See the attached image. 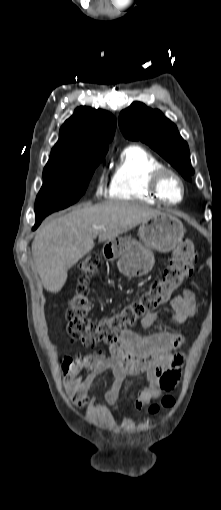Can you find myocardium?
Instances as JSON below:
<instances>
[{"mask_svg":"<svg viewBox=\"0 0 221 510\" xmlns=\"http://www.w3.org/2000/svg\"><path fill=\"white\" fill-rule=\"evenodd\" d=\"M173 177L180 185L181 198L176 202H171L165 199L161 192V185L166 177ZM148 188L152 196L161 204L165 206H176L182 203L186 197V186L182 177L173 169L168 167H161L150 174Z\"/></svg>","mask_w":221,"mask_h":510,"instance_id":"f54148a6","label":"myocardium"}]
</instances>
